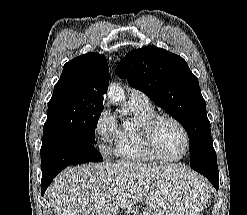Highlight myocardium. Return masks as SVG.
Instances as JSON below:
<instances>
[{
	"label": "myocardium",
	"mask_w": 247,
	"mask_h": 215,
	"mask_svg": "<svg viewBox=\"0 0 247 215\" xmlns=\"http://www.w3.org/2000/svg\"><path fill=\"white\" fill-rule=\"evenodd\" d=\"M162 121H171L175 123L183 132L184 138H185V148L183 153L178 157H167L161 154L158 150L157 144H156V129L158 125ZM141 133L143 137L144 144L149 151V153L157 160L161 161H167V162H173V161H179L183 159L190 148V135L185 127V125L176 117L167 115V114H155L153 117H151L149 120L145 121L141 125Z\"/></svg>",
	"instance_id": "obj_1"
}]
</instances>
